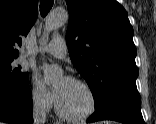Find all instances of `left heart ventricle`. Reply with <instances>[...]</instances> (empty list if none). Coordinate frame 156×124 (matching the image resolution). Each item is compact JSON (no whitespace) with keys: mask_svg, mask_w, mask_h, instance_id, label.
Here are the masks:
<instances>
[{"mask_svg":"<svg viewBox=\"0 0 156 124\" xmlns=\"http://www.w3.org/2000/svg\"><path fill=\"white\" fill-rule=\"evenodd\" d=\"M56 87L60 88L56 101L65 113L78 115L89 108L90 96L83 86L62 78L56 82Z\"/></svg>","mask_w":156,"mask_h":124,"instance_id":"obj_1","label":"left heart ventricle"}]
</instances>
